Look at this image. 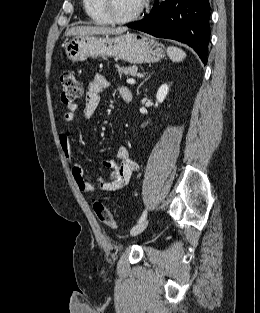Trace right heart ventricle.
<instances>
[{
  "mask_svg": "<svg viewBox=\"0 0 260 313\" xmlns=\"http://www.w3.org/2000/svg\"><path fill=\"white\" fill-rule=\"evenodd\" d=\"M83 8L89 19L98 25H107L110 23L101 9V0H82Z\"/></svg>",
  "mask_w": 260,
  "mask_h": 313,
  "instance_id": "obj_1",
  "label": "right heart ventricle"
}]
</instances>
